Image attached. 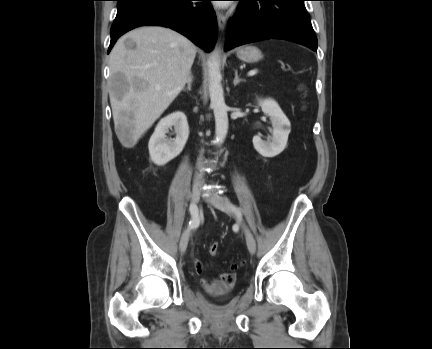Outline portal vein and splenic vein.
Masks as SVG:
<instances>
[{
  "label": "portal vein and splenic vein",
  "mask_w": 432,
  "mask_h": 349,
  "mask_svg": "<svg viewBox=\"0 0 432 349\" xmlns=\"http://www.w3.org/2000/svg\"><path fill=\"white\" fill-rule=\"evenodd\" d=\"M256 73H257V70H251V71H249L248 76H253Z\"/></svg>",
  "instance_id": "18ae733b"
}]
</instances>
